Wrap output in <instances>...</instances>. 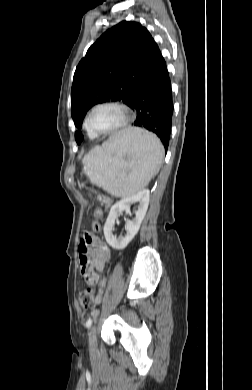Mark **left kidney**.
Returning a JSON list of instances; mask_svg holds the SVG:
<instances>
[{
    "mask_svg": "<svg viewBox=\"0 0 252 390\" xmlns=\"http://www.w3.org/2000/svg\"><path fill=\"white\" fill-rule=\"evenodd\" d=\"M138 202V209L135 211V218L126 222L127 233L124 237L116 238L113 234L115 221L120 213L129 211L131 204ZM149 205V190H141L132 196L125 197L114 204L109 212L104 225V236L107 243L116 250L124 249L137 234L141 222L145 217Z\"/></svg>",
    "mask_w": 252,
    "mask_h": 390,
    "instance_id": "obj_1",
    "label": "left kidney"
}]
</instances>
